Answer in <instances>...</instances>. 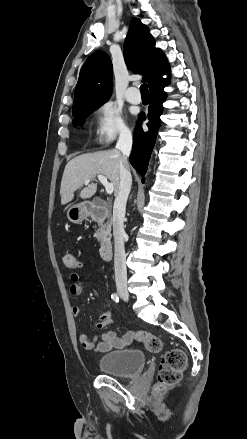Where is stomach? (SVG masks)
<instances>
[{"label": "stomach", "instance_id": "0dacf381", "mask_svg": "<svg viewBox=\"0 0 247 439\" xmlns=\"http://www.w3.org/2000/svg\"><path fill=\"white\" fill-rule=\"evenodd\" d=\"M88 215L89 211L84 203L73 205L67 211L68 220L75 224L82 222Z\"/></svg>", "mask_w": 247, "mask_h": 439}]
</instances>
